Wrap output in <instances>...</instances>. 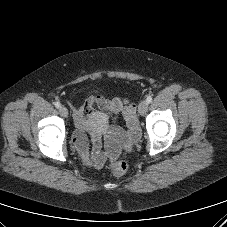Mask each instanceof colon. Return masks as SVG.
I'll list each match as a JSON object with an SVG mask.
<instances>
[{"instance_id": "colon-1", "label": "colon", "mask_w": 227, "mask_h": 227, "mask_svg": "<svg viewBox=\"0 0 227 227\" xmlns=\"http://www.w3.org/2000/svg\"><path fill=\"white\" fill-rule=\"evenodd\" d=\"M109 168L113 175L122 176L126 173L128 166L124 161H115L109 165Z\"/></svg>"}]
</instances>
